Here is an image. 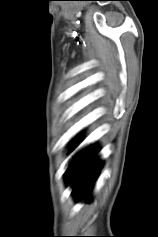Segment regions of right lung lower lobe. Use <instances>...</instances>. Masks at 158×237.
Wrapping results in <instances>:
<instances>
[{"label":"right lung lower lobe","instance_id":"right-lung-lower-lobe-1","mask_svg":"<svg viewBox=\"0 0 158 237\" xmlns=\"http://www.w3.org/2000/svg\"><path fill=\"white\" fill-rule=\"evenodd\" d=\"M97 150L87 148L77 154L67 170V181L73 186L77 200L86 197L96 180L100 162L96 160Z\"/></svg>","mask_w":158,"mask_h":237}]
</instances>
